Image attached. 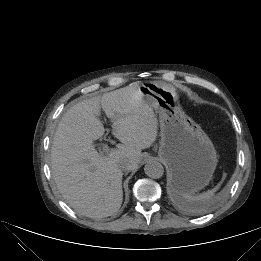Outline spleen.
<instances>
[{
    "label": "spleen",
    "instance_id": "obj_1",
    "mask_svg": "<svg viewBox=\"0 0 261 261\" xmlns=\"http://www.w3.org/2000/svg\"><path fill=\"white\" fill-rule=\"evenodd\" d=\"M220 185L221 182L212 190H208L198 195L184 193L181 195H174V197L182 206L186 207L190 211L196 212L202 208L204 203L212 198Z\"/></svg>",
    "mask_w": 261,
    "mask_h": 261
}]
</instances>
